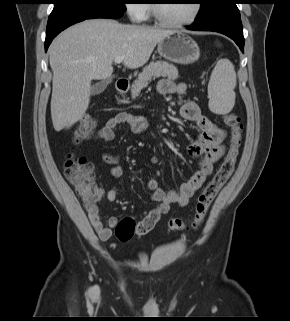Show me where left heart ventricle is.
<instances>
[{
	"instance_id": "b2bd125f",
	"label": "left heart ventricle",
	"mask_w": 290,
	"mask_h": 321,
	"mask_svg": "<svg viewBox=\"0 0 290 321\" xmlns=\"http://www.w3.org/2000/svg\"><path fill=\"white\" fill-rule=\"evenodd\" d=\"M195 7L193 0H163L160 8L162 15L172 21H182L191 17Z\"/></svg>"
}]
</instances>
